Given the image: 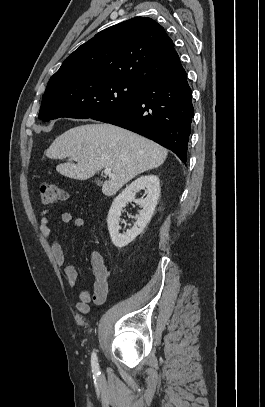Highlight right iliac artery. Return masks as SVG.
<instances>
[{
  "instance_id": "obj_1",
  "label": "right iliac artery",
  "mask_w": 265,
  "mask_h": 407,
  "mask_svg": "<svg viewBox=\"0 0 265 407\" xmlns=\"http://www.w3.org/2000/svg\"><path fill=\"white\" fill-rule=\"evenodd\" d=\"M91 366H92L93 371L97 372L99 370L96 352L92 353Z\"/></svg>"
}]
</instances>
